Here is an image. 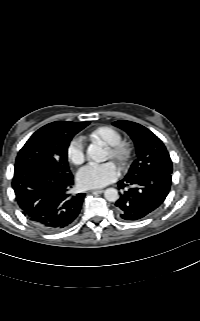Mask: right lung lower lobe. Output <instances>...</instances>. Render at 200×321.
I'll return each instance as SVG.
<instances>
[{
    "label": "right lung lower lobe",
    "mask_w": 200,
    "mask_h": 321,
    "mask_svg": "<svg viewBox=\"0 0 200 321\" xmlns=\"http://www.w3.org/2000/svg\"><path fill=\"white\" fill-rule=\"evenodd\" d=\"M72 173L58 172L43 162H28L14 169L12 187L22 213L36 227L58 232L77 218L85 194L69 193Z\"/></svg>",
    "instance_id": "obj_1"
}]
</instances>
